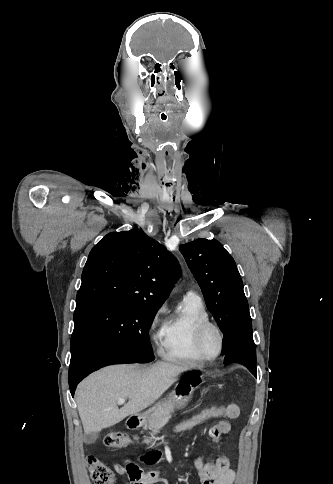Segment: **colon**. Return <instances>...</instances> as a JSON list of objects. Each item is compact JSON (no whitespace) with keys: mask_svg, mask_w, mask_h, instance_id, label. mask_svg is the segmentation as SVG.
Returning a JSON list of instances; mask_svg holds the SVG:
<instances>
[{"mask_svg":"<svg viewBox=\"0 0 333 484\" xmlns=\"http://www.w3.org/2000/svg\"><path fill=\"white\" fill-rule=\"evenodd\" d=\"M224 416V407L211 406L202 409L201 411L188 416L177 422L171 429L173 435H181L191 431L192 429L214 419L222 418ZM132 439L124 433L110 432L103 438L105 446L110 448H121L129 445ZM87 465L90 476L94 484H113L114 476L111 469L104 463L89 456L87 458Z\"/></svg>","mask_w":333,"mask_h":484,"instance_id":"colon-1","label":"colon"}]
</instances>
